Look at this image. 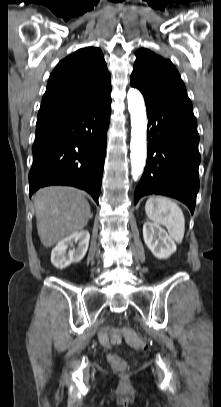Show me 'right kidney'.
Masks as SVG:
<instances>
[{
  "label": "right kidney",
  "mask_w": 221,
  "mask_h": 407,
  "mask_svg": "<svg viewBox=\"0 0 221 407\" xmlns=\"http://www.w3.org/2000/svg\"><path fill=\"white\" fill-rule=\"evenodd\" d=\"M89 240L90 234L87 230L73 233L64 238L51 252L52 264L56 268L64 269L74 262H80L88 250ZM74 244H77V247L67 252L68 247Z\"/></svg>",
  "instance_id": "right-kidney-1"
}]
</instances>
